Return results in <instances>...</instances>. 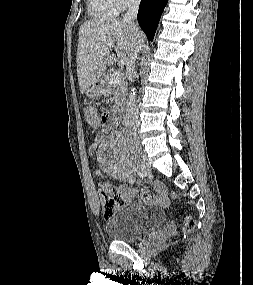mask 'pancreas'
<instances>
[{
    "label": "pancreas",
    "mask_w": 253,
    "mask_h": 285,
    "mask_svg": "<svg viewBox=\"0 0 253 285\" xmlns=\"http://www.w3.org/2000/svg\"><path fill=\"white\" fill-rule=\"evenodd\" d=\"M110 77L111 74H108L103 80L104 94L111 96V101L114 102L112 109L120 111L126 97L127 85L124 80L113 84L110 82Z\"/></svg>",
    "instance_id": "cf45deb5"
}]
</instances>
